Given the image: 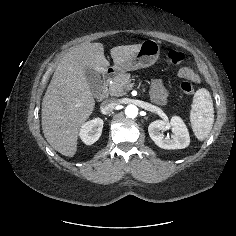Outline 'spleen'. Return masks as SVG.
<instances>
[{
	"instance_id": "1",
	"label": "spleen",
	"mask_w": 236,
	"mask_h": 236,
	"mask_svg": "<svg viewBox=\"0 0 236 236\" xmlns=\"http://www.w3.org/2000/svg\"><path fill=\"white\" fill-rule=\"evenodd\" d=\"M190 122L195 136L201 141L209 135L213 127V101L209 91L204 88L194 94Z\"/></svg>"
}]
</instances>
